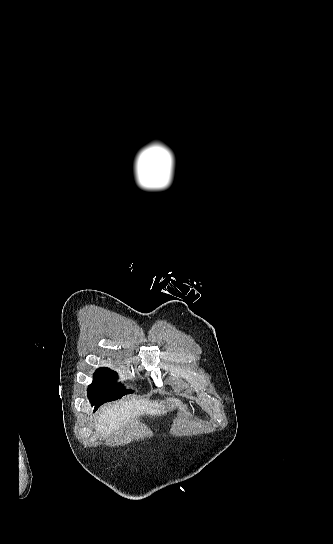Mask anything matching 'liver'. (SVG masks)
I'll use <instances>...</instances> for the list:
<instances>
[{"mask_svg":"<svg viewBox=\"0 0 333 544\" xmlns=\"http://www.w3.org/2000/svg\"><path fill=\"white\" fill-rule=\"evenodd\" d=\"M168 406H167V405ZM179 404V400L168 398L166 401H150L146 399H133L111 408L103 410L96 423V431L103 437L118 432L133 423L134 418L140 415L159 416L164 415L168 410H173Z\"/></svg>","mask_w":333,"mask_h":544,"instance_id":"liver-1","label":"liver"}]
</instances>
